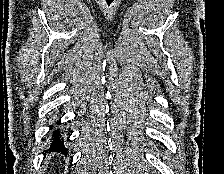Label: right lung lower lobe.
<instances>
[{
  "mask_svg": "<svg viewBox=\"0 0 224 174\" xmlns=\"http://www.w3.org/2000/svg\"><path fill=\"white\" fill-rule=\"evenodd\" d=\"M53 134H54V140L51 143V151L57 150L61 152H66V148L63 145V141L59 139L60 135L59 131L55 130Z\"/></svg>",
  "mask_w": 224,
  "mask_h": 174,
  "instance_id": "1",
  "label": "right lung lower lobe"
}]
</instances>
